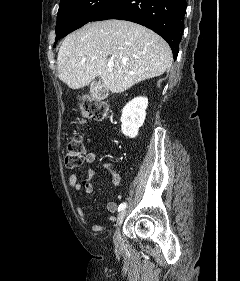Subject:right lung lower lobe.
<instances>
[{
  "label": "right lung lower lobe",
  "instance_id": "1",
  "mask_svg": "<svg viewBox=\"0 0 240 281\" xmlns=\"http://www.w3.org/2000/svg\"><path fill=\"white\" fill-rule=\"evenodd\" d=\"M186 7V0H116L94 21L121 19L146 26L168 42L176 59Z\"/></svg>",
  "mask_w": 240,
  "mask_h": 281
}]
</instances>
